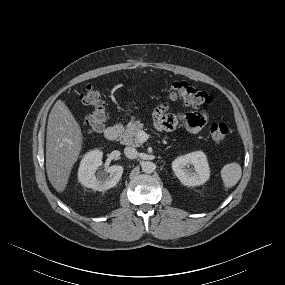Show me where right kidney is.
<instances>
[{
	"instance_id": "right-kidney-1",
	"label": "right kidney",
	"mask_w": 285,
	"mask_h": 285,
	"mask_svg": "<svg viewBox=\"0 0 285 285\" xmlns=\"http://www.w3.org/2000/svg\"><path fill=\"white\" fill-rule=\"evenodd\" d=\"M102 156L103 153L97 149L84 155L78 169V180L83 186L105 191L114 187L121 179L123 167L120 165H112L96 173L102 166Z\"/></svg>"
}]
</instances>
